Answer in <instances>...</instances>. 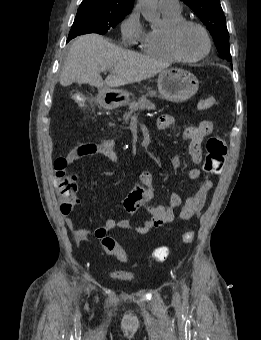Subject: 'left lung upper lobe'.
Returning <instances> with one entry per match:
<instances>
[{
	"instance_id": "5c2ea615",
	"label": "left lung upper lobe",
	"mask_w": 261,
	"mask_h": 340,
	"mask_svg": "<svg viewBox=\"0 0 261 340\" xmlns=\"http://www.w3.org/2000/svg\"><path fill=\"white\" fill-rule=\"evenodd\" d=\"M200 18L211 33L220 55L232 60L226 19L219 0H183Z\"/></svg>"
}]
</instances>
